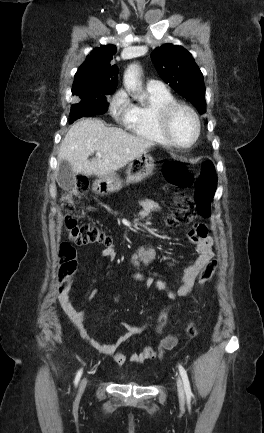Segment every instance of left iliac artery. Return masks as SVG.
Returning <instances> with one entry per match:
<instances>
[{"mask_svg": "<svg viewBox=\"0 0 264 433\" xmlns=\"http://www.w3.org/2000/svg\"><path fill=\"white\" fill-rule=\"evenodd\" d=\"M178 368H179V372H180V375L182 377V381L184 384V389H185L187 400L190 401L191 396H192V392H191V387H190L189 379L187 376V372L182 365H179Z\"/></svg>", "mask_w": 264, "mask_h": 433, "instance_id": "44dca946", "label": "left iliac artery"}]
</instances>
